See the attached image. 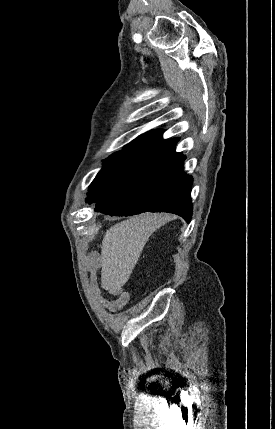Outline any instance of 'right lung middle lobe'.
Wrapping results in <instances>:
<instances>
[{
  "instance_id": "right-lung-middle-lobe-1",
  "label": "right lung middle lobe",
  "mask_w": 275,
  "mask_h": 429,
  "mask_svg": "<svg viewBox=\"0 0 275 429\" xmlns=\"http://www.w3.org/2000/svg\"><path fill=\"white\" fill-rule=\"evenodd\" d=\"M148 161L150 159L146 157L133 156L124 152L112 154L103 161L104 167L89 186L86 202L91 204L113 194L133 178Z\"/></svg>"
}]
</instances>
